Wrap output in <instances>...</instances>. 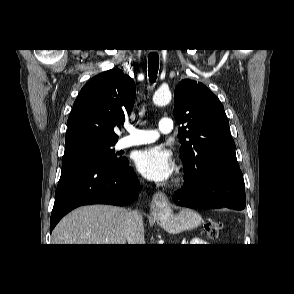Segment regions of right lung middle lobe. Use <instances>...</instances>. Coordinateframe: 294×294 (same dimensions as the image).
Returning a JSON list of instances; mask_svg holds the SVG:
<instances>
[{
    "instance_id": "obj_1",
    "label": "right lung middle lobe",
    "mask_w": 294,
    "mask_h": 294,
    "mask_svg": "<svg viewBox=\"0 0 294 294\" xmlns=\"http://www.w3.org/2000/svg\"><path fill=\"white\" fill-rule=\"evenodd\" d=\"M115 142L82 139L66 144L62 165L86 159L101 160L106 163H121L126 158H117L113 150Z\"/></svg>"
}]
</instances>
